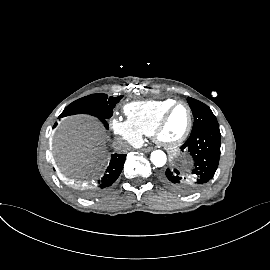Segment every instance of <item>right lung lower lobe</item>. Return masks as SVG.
<instances>
[{"mask_svg": "<svg viewBox=\"0 0 270 270\" xmlns=\"http://www.w3.org/2000/svg\"><path fill=\"white\" fill-rule=\"evenodd\" d=\"M101 122H103L104 126L108 129V124L105 119H100ZM57 125L55 123L54 127ZM126 159V155L124 154H112L111 155V161L109 164V167L106 170V174L101 180H98V186L94 188H90L88 190V194H95L100 191H103L107 189L109 186H111L120 175L123 165Z\"/></svg>", "mask_w": 270, "mask_h": 270, "instance_id": "obj_1", "label": "right lung lower lobe"}]
</instances>
